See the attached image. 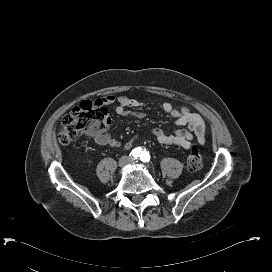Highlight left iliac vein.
Segmentation results:
<instances>
[{"mask_svg": "<svg viewBox=\"0 0 272 272\" xmlns=\"http://www.w3.org/2000/svg\"><path fill=\"white\" fill-rule=\"evenodd\" d=\"M130 163H131V164H137V161H135V160H130Z\"/></svg>", "mask_w": 272, "mask_h": 272, "instance_id": "left-iliac-vein-1", "label": "left iliac vein"}]
</instances>
